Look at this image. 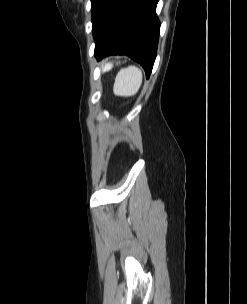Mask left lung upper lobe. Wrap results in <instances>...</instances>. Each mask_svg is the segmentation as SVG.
Here are the masks:
<instances>
[{
	"label": "left lung upper lobe",
	"instance_id": "5c2ea615",
	"mask_svg": "<svg viewBox=\"0 0 247 304\" xmlns=\"http://www.w3.org/2000/svg\"><path fill=\"white\" fill-rule=\"evenodd\" d=\"M101 0H91V11H92V17L95 14Z\"/></svg>",
	"mask_w": 247,
	"mask_h": 304
}]
</instances>
